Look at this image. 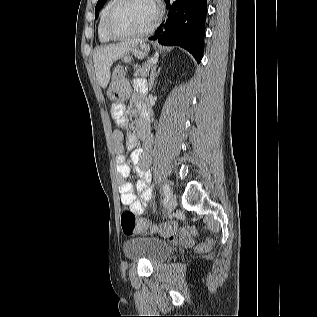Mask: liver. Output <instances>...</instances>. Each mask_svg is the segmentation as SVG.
<instances>
[{
  "mask_svg": "<svg viewBox=\"0 0 317 317\" xmlns=\"http://www.w3.org/2000/svg\"><path fill=\"white\" fill-rule=\"evenodd\" d=\"M141 43L140 40L125 41L118 44L98 47L93 55L96 77L100 86L105 89L110 80V68L115 61L123 57L131 48Z\"/></svg>",
  "mask_w": 317,
  "mask_h": 317,
  "instance_id": "liver-1",
  "label": "liver"
}]
</instances>
